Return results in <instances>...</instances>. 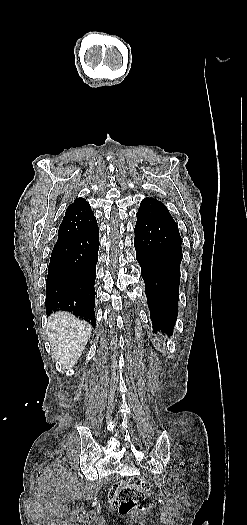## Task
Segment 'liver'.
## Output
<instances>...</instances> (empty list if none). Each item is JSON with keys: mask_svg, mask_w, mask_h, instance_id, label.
<instances>
[{"mask_svg": "<svg viewBox=\"0 0 247 525\" xmlns=\"http://www.w3.org/2000/svg\"><path fill=\"white\" fill-rule=\"evenodd\" d=\"M91 325L79 321L72 313L59 311L48 317L46 335L57 371H72L91 335Z\"/></svg>", "mask_w": 247, "mask_h": 525, "instance_id": "obj_1", "label": "liver"}]
</instances>
